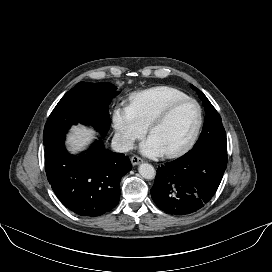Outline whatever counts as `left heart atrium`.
<instances>
[{"mask_svg": "<svg viewBox=\"0 0 272 272\" xmlns=\"http://www.w3.org/2000/svg\"><path fill=\"white\" fill-rule=\"evenodd\" d=\"M141 151L152 157L159 156L164 153L157 141L151 136L142 143Z\"/></svg>", "mask_w": 272, "mask_h": 272, "instance_id": "obj_1", "label": "left heart atrium"}]
</instances>
